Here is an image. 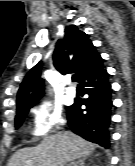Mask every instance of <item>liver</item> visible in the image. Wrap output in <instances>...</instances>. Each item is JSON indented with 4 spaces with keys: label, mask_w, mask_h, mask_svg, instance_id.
Instances as JSON below:
<instances>
[{
    "label": "liver",
    "mask_w": 135,
    "mask_h": 166,
    "mask_svg": "<svg viewBox=\"0 0 135 166\" xmlns=\"http://www.w3.org/2000/svg\"><path fill=\"white\" fill-rule=\"evenodd\" d=\"M94 149V144L72 132H59L45 137L36 147L20 149L7 166H64L90 156Z\"/></svg>",
    "instance_id": "obj_1"
}]
</instances>
